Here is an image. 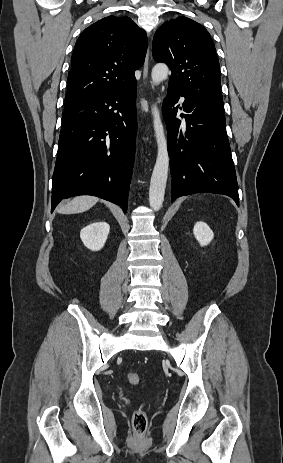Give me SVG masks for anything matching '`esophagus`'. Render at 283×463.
<instances>
[{
  "instance_id": "esophagus-1",
  "label": "esophagus",
  "mask_w": 283,
  "mask_h": 463,
  "mask_svg": "<svg viewBox=\"0 0 283 463\" xmlns=\"http://www.w3.org/2000/svg\"><path fill=\"white\" fill-rule=\"evenodd\" d=\"M148 62H149V51L147 52L145 62L143 65V80L147 81L148 79Z\"/></svg>"
}]
</instances>
